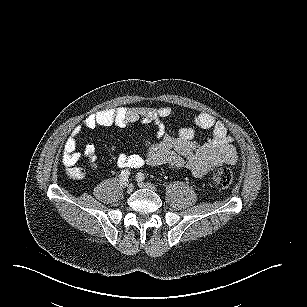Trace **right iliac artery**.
Returning <instances> with one entry per match:
<instances>
[{
  "mask_svg": "<svg viewBox=\"0 0 307 307\" xmlns=\"http://www.w3.org/2000/svg\"><path fill=\"white\" fill-rule=\"evenodd\" d=\"M130 172L128 170H123L120 174V185L121 186H126L128 182Z\"/></svg>",
  "mask_w": 307,
  "mask_h": 307,
  "instance_id": "right-iliac-artery-1",
  "label": "right iliac artery"
}]
</instances>
